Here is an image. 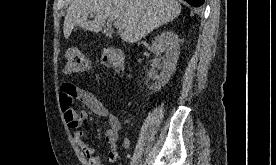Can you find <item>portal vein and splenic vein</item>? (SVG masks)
Masks as SVG:
<instances>
[{
	"label": "portal vein and splenic vein",
	"mask_w": 276,
	"mask_h": 165,
	"mask_svg": "<svg viewBox=\"0 0 276 165\" xmlns=\"http://www.w3.org/2000/svg\"><path fill=\"white\" fill-rule=\"evenodd\" d=\"M114 26H116L117 28H120L121 27V23L119 20H115L114 21Z\"/></svg>",
	"instance_id": "portal-vein-and-splenic-vein-1"
}]
</instances>
